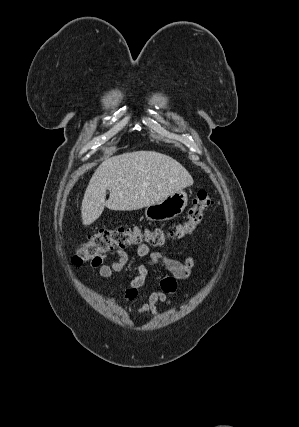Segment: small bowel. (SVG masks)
Returning <instances> with one entry per match:
<instances>
[{
	"mask_svg": "<svg viewBox=\"0 0 299 427\" xmlns=\"http://www.w3.org/2000/svg\"><path fill=\"white\" fill-rule=\"evenodd\" d=\"M136 254L139 257L149 256L150 262L153 266H165L168 271V275L160 277L155 276L154 279L158 283L159 290L152 292L147 302L136 309V312L140 315L153 314L158 315L156 304L158 302H164L171 304L169 296L174 294L177 289V281L187 280L195 268V259L193 257H187L180 261L169 257L167 248L160 251H150L146 244H139L136 248ZM128 262V255L125 252H120L119 259L111 264H103L101 261L94 264L93 266L98 269V275L101 278H108L112 274L120 272L126 263ZM150 271L145 266H139L137 269L136 276L129 281L127 284L122 286L123 298L128 302L136 300L138 290L145 284L146 279ZM191 293L187 294L189 297Z\"/></svg>",
	"mask_w": 299,
	"mask_h": 427,
	"instance_id": "obj_1",
	"label": "small bowel"
}]
</instances>
